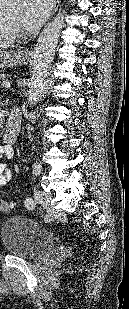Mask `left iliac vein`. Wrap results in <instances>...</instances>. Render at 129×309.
I'll use <instances>...</instances> for the list:
<instances>
[{
	"mask_svg": "<svg viewBox=\"0 0 129 309\" xmlns=\"http://www.w3.org/2000/svg\"><path fill=\"white\" fill-rule=\"evenodd\" d=\"M35 195L37 202L47 210V213L50 217L53 218L58 214V211H56L50 204L52 197L49 193H46L44 191H36Z\"/></svg>",
	"mask_w": 129,
	"mask_h": 309,
	"instance_id": "obj_1",
	"label": "left iliac vein"
}]
</instances>
